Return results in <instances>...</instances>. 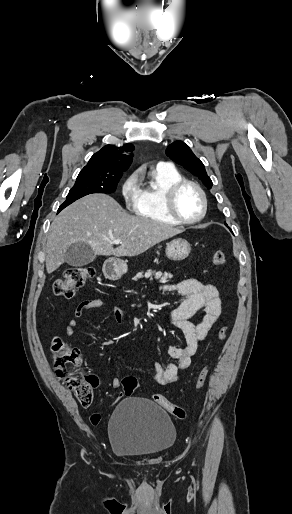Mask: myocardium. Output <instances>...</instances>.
I'll list each match as a JSON object with an SVG mask.
<instances>
[{"label":"myocardium","mask_w":292,"mask_h":514,"mask_svg":"<svg viewBox=\"0 0 292 514\" xmlns=\"http://www.w3.org/2000/svg\"><path fill=\"white\" fill-rule=\"evenodd\" d=\"M184 187L194 188L200 197V202H201L200 213L196 218H194L192 220H185V219L181 218L175 209L176 195ZM161 202H162L163 209H164L165 213L168 215V217L174 223L182 224V225H193V224L200 222L205 217L206 211H207V200H206V196H205V193H204L202 187L199 184H197L193 181H189V180H180V181L174 183L173 185L169 186L165 190H163L161 193Z\"/></svg>","instance_id":"f54148a6"}]
</instances>
